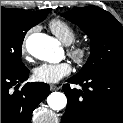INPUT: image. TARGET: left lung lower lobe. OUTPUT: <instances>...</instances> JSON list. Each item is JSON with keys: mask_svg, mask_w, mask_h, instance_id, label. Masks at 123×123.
Returning <instances> with one entry per match:
<instances>
[{"mask_svg": "<svg viewBox=\"0 0 123 123\" xmlns=\"http://www.w3.org/2000/svg\"><path fill=\"white\" fill-rule=\"evenodd\" d=\"M63 85L67 107L62 123H123V67H110L88 77L74 76Z\"/></svg>", "mask_w": 123, "mask_h": 123, "instance_id": "1", "label": "left lung lower lobe"}]
</instances>
